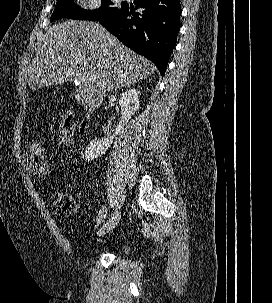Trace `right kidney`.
<instances>
[{"label":"right kidney","mask_w":272,"mask_h":303,"mask_svg":"<svg viewBox=\"0 0 272 303\" xmlns=\"http://www.w3.org/2000/svg\"><path fill=\"white\" fill-rule=\"evenodd\" d=\"M119 105L121 107L122 117L115 133L109 138L91 141L85 151L86 161H91L102 156L113 143L114 137L121 132L124 124L129 122L130 118L139 108V91L130 89L124 92L119 99Z\"/></svg>","instance_id":"right-kidney-1"}]
</instances>
